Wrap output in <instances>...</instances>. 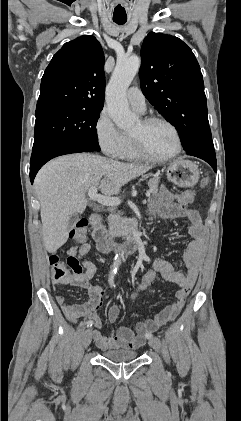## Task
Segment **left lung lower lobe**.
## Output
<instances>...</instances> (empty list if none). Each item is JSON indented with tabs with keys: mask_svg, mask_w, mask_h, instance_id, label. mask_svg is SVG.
<instances>
[{
	"mask_svg": "<svg viewBox=\"0 0 241 421\" xmlns=\"http://www.w3.org/2000/svg\"><path fill=\"white\" fill-rule=\"evenodd\" d=\"M188 155H192V156L205 160L207 163L211 165V167L216 172L217 164H216V155H215L214 147H203V148L198 149L195 152L189 153Z\"/></svg>",
	"mask_w": 241,
	"mask_h": 421,
	"instance_id": "1",
	"label": "left lung lower lobe"
}]
</instances>
